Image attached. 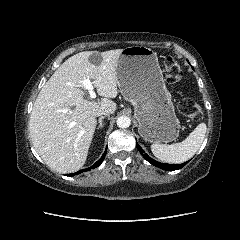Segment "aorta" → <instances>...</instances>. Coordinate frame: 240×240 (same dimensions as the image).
Returning a JSON list of instances; mask_svg holds the SVG:
<instances>
[{"mask_svg": "<svg viewBox=\"0 0 240 240\" xmlns=\"http://www.w3.org/2000/svg\"><path fill=\"white\" fill-rule=\"evenodd\" d=\"M116 123L119 128H128L131 125V119L128 116H120Z\"/></svg>", "mask_w": 240, "mask_h": 240, "instance_id": "762f6f07", "label": "aorta"}]
</instances>
